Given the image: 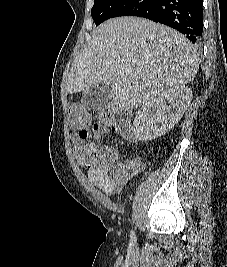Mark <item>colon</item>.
Instances as JSON below:
<instances>
[{
    "mask_svg": "<svg viewBox=\"0 0 227 267\" xmlns=\"http://www.w3.org/2000/svg\"><path fill=\"white\" fill-rule=\"evenodd\" d=\"M99 119L108 126H113L116 122L114 108L110 105L99 108L96 111ZM70 123L75 128H84L89 125L90 114L77 103H72L68 109Z\"/></svg>",
    "mask_w": 227,
    "mask_h": 267,
    "instance_id": "5ec220e1",
    "label": "colon"
}]
</instances>
